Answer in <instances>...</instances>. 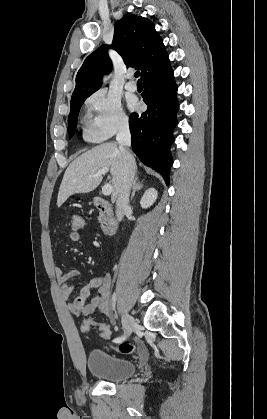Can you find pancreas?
Returning <instances> with one entry per match:
<instances>
[{
    "instance_id": "cf45deb5",
    "label": "pancreas",
    "mask_w": 267,
    "mask_h": 419,
    "mask_svg": "<svg viewBox=\"0 0 267 419\" xmlns=\"http://www.w3.org/2000/svg\"><path fill=\"white\" fill-rule=\"evenodd\" d=\"M98 220H99V222L102 221V216L101 215L99 216Z\"/></svg>"
}]
</instances>
